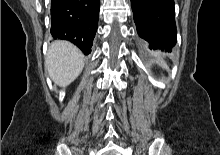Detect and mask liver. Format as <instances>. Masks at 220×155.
<instances>
[{"label":"liver","mask_w":220,"mask_h":155,"mask_svg":"<svg viewBox=\"0 0 220 155\" xmlns=\"http://www.w3.org/2000/svg\"><path fill=\"white\" fill-rule=\"evenodd\" d=\"M45 67L54 83L65 87L83 70L84 56L72 43L55 41L48 48Z\"/></svg>","instance_id":"1"}]
</instances>
